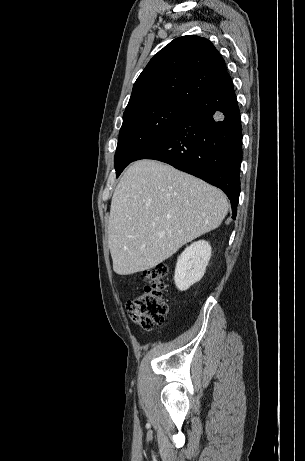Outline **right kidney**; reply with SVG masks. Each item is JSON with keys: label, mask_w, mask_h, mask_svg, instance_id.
<instances>
[{"label": "right kidney", "mask_w": 305, "mask_h": 461, "mask_svg": "<svg viewBox=\"0 0 305 461\" xmlns=\"http://www.w3.org/2000/svg\"><path fill=\"white\" fill-rule=\"evenodd\" d=\"M211 257V246L199 240L187 247L178 257L174 281L178 290L186 291L204 276Z\"/></svg>", "instance_id": "1"}]
</instances>
